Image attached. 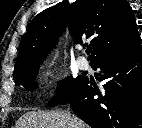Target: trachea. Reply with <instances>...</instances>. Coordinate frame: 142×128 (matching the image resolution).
Returning <instances> with one entry per match:
<instances>
[{"label":"trachea","instance_id":"1","mask_svg":"<svg viewBox=\"0 0 142 128\" xmlns=\"http://www.w3.org/2000/svg\"><path fill=\"white\" fill-rule=\"evenodd\" d=\"M91 52H92V49L91 48H87L86 53L90 54Z\"/></svg>","mask_w":142,"mask_h":128}]
</instances>
